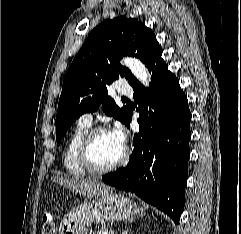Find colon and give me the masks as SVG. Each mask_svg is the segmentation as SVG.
Returning <instances> with one entry per match:
<instances>
[{"mask_svg": "<svg viewBox=\"0 0 241 234\" xmlns=\"http://www.w3.org/2000/svg\"><path fill=\"white\" fill-rule=\"evenodd\" d=\"M40 234H56V225L50 214L43 216Z\"/></svg>", "mask_w": 241, "mask_h": 234, "instance_id": "5ec220e1", "label": "colon"}]
</instances>
